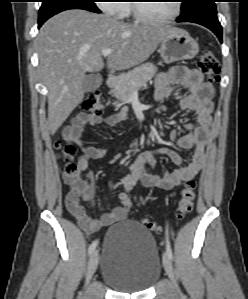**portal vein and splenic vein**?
Masks as SVG:
<instances>
[{
	"instance_id": "obj_1",
	"label": "portal vein and splenic vein",
	"mask_w": 248,
	"mask_h": 299,
	"mask_svg": "<svg viewBox=\"0 0 248 299\" xmlns=\"http://www.w3.org/2000/svg\"><path fill=\"white\" fill-rule=\"evenodd\" d=\"M112 52H113L112 49H104V50L102 51V56L107 57V56H109Z\"/></svg>"
}]
</instances>
